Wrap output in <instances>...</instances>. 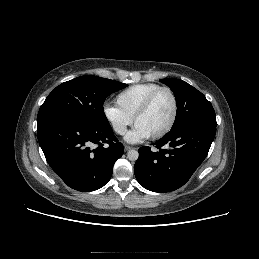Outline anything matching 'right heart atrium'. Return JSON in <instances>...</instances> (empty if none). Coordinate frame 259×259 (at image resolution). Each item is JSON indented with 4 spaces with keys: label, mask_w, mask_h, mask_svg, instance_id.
Listing matches in <instances>:
<instances>
[{
    "label": "right heart atrium",
    "mask_w": 259,
    "mask_h": 259,
    "mask_svg": "<svg viewBox=\"0 0 259 259\" xmlns=\"http://www.w3.org/2000/svg\"><path fill=\"white\" fill-rule=\"evenodd\" d=\"M103 116L114 133L123 135L132 124V118L122 112L117 106L105 104L102 109Z\"/></svg>",
    "instance_id": "d8ad5b80"
}]
</instances>
